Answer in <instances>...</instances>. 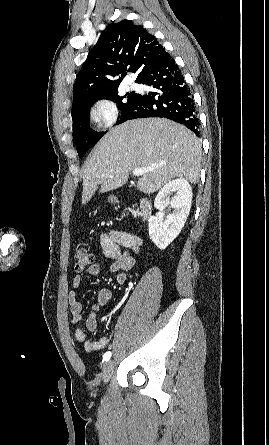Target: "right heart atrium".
Masks as SVG:
<instances>
[{
  "mask_svg": "<svg viewBox=\"0 0 269 445\" xmlns=\"http://www.w3.org/2000/svg\"><path fill=\"white\" fill-rule=\"evenodd\" d=\"M119 111L116 103L111 99L96 100L89 109V116L100 128H109L118 119Z\"/></svg>",
  "mask_w": 269,
  "mask_h": 445,
  "instance_id": "d8ad5b80",
  "label": "right heart atrium"
}]
</instances>
